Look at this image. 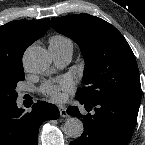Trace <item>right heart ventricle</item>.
I'll return each instance as SVG.
<instances>
[{
    "label": "right heart ventricle",
    "mask_w": 145,
    "mask_h": 145,
    "mask_svg": "<svg viewBox=\"0 0 145 145\" xmlns=\"http://www.w3.org/2000/svg\"><path fill=\"white\" fill-rule=\"evenodd\" d=\"M73 41L62 34H55L49 38V48L52 50L70 49L73 51Z\"/></svg>",
    "instance_id": "obj_1"
}]
</instances>
